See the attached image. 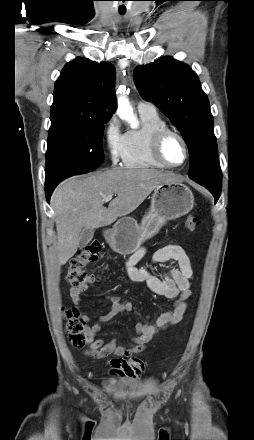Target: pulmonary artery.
Listing matches in <instances>:
<instances>
[{"label":"pulmonary artery","mask_w":254,"mask_h":440,"mask_svg":"<svg viewBox=\"0 0 254 440\" xmlns=\"http://www.w3.org/2000/svg\"><path fill=\"white\" fill-rule=\"evenodd\" d=\"M137 109L139 112H156V108L152 103L140 101L137 104Z\"/></svg>","instance_id":"e3ab8cb5"}]
</instances>
